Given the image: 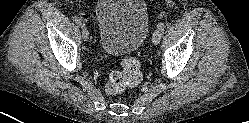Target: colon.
I'll return each instance as SVG.
<instances>
[{"instance_id":"5ec220e1","label":"colon","mask_w":249,"mask_h":123,"mask_svg":"<svg viewBox=\"0 0 249 123\" xmlns=\"http://www.w3.org/2000/svg\"><path fill=\"white\" fill-rule=\"evenodd\" d=\"M141 81L139 62L134 57H127L121 62V70L110 74L105 84L108 94H117L129 86L137 85Z\"/></svg>"}]
</instances>
